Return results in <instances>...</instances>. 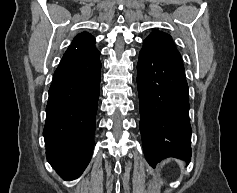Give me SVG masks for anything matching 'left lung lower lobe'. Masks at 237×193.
<instances>
[{
  "instance_id": "0a47b994",
  "label": "left lung lower lobe",
  "mask_w": 237,
  "mask_h": 193,
  "mask_svg": "<svg viewBox=\"0 0 237 193\" xmlns=\"http://www.w3.org/2000/svg\"><path fill=\"white\" fill-rule=\"evenodd\" d=\"M140 132L151 166L167 157L189 161V95L181 56L144 40L137 64Z\"/></svg>"
}]
</instances>
